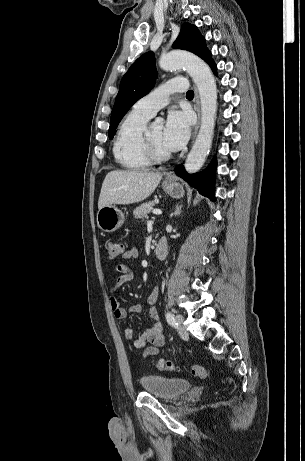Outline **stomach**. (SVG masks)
<instances>
[{
  "mask_svg": "<svg viewBox=\"0 0 305 461\" xmlns=\"http://www.w3.org/2000/svg\"><path fill=\"white\" fill-rule=\"evenodd\" d=\"M163 190L171 197L179 199L184 196L183 186L176 181H164ZM125 221V216L120 209L111 205L99 209L97 213V225L104 232H114L119 229Z\"/></svg>",
  "mask_w": 305,
  "mask_h": 461,
  "instance_id": "0dacf381",
  "label": "stomach"
}]
</instances>
